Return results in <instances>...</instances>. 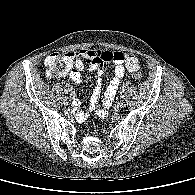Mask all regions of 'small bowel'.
<instances>
[{
	"label": "small bowel",
	"instance_id": "1",
	"mask_svg": "<svg viewBox=\"0 0 195 195\" xmlns=\"http://www.w3.org/2000/svg\"><path fill=\"white\" fill-rule=\"evenodd\" d=\"M70 59L69 77L76 84H80L85 71L97 72L99 78L95 84L89 106L85 111H76V116L84 120L90 113L101 118L108 116L109 109L116 96L119 84L126 71L135 72L139 68V60L131 54L113 52L110 50L83 49L77 53H66ZM87 64V67L85 66ZM105 63H113L109 84L104 92L100 106H98L102 87V75L105 73Z\"/></svg>",
	"mask_w": 195,
	"mask_h": 195
}]
</instances>
